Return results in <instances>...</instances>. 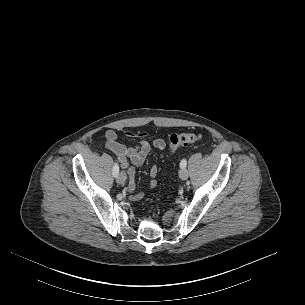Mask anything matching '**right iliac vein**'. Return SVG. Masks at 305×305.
<instances>
[{"mask_svg": "<svg viewBox=\"0 0 305 305\" xmlns=\"http://www.w3.org/2000/svg\"><path fill=\"white\" fill-rule=\"evenodd\" d=\"M126 173L124 171H121L118 176L116 177V181L118 184H124L126 182Z\"/></svg>", "mask_w": 305, "mask_h": 305, "instance_id": "1", "label": "right iliac vein"}]
</instances>
